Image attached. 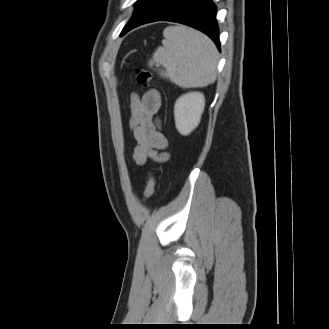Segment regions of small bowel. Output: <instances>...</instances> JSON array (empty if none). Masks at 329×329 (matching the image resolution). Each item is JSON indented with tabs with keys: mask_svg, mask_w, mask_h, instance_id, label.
<instances>
[{
	"mask_svg": "<svg viewBox=\"0 0 329 329\" xmlns=\"http://www.w3.org/2000/svg\"><path fill=\"white\" fill-rule=\"evenodd\" d=\"M161 106V95L150 90L139 97L131 95L130 128L136 141L133 159L137 165H144L149 159L165 162L169 154L165 151L168 141L160 129L157 118Z\"/></svg>",
	"mask_w": 329,
	"mask_h": 329,
	"instance_id": "obj_1",
	"label": "small bowel"
}]
</instances>
